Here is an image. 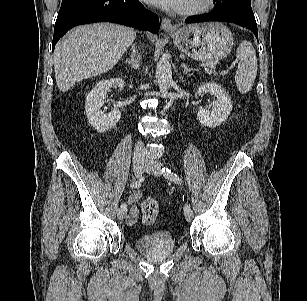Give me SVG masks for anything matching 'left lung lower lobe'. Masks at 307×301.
<instances>
[{
    "mask_svg": "<svg viewBox=\"0 0 307 301\" xmlns=\"http://www.w3.org/2000/svg\"><path fill=\"white\" fill-rule=\"evenodd\" d=\"M207 21L236 23L251 30L258 40L257 24L251 8H229L223 10H214L213 12L206 15L188 18L185 20V23Z\"/></svg>",
    "mask_w": 307,
    "mask_h": 301,
    "instance_id": "1",
    "label": "left lung lower lobe"
}]
</instances>
